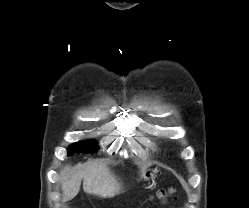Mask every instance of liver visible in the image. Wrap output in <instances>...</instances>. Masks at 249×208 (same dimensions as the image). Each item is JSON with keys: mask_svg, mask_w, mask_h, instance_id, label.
Segmentation results:
<instances>
[{"mask_svg": "<svg viewBox=\"0 0 249 208\" xmlns=\"http://www.w3.org/2000/svg\"><path fill=\"white\" fill-rule=\"evenodd\" d=\"M145 168L141 170L144 173ZM83 179L84 192L102 198L113 197L122 191V186L110 169L102 162L95 160L82 166H65L60 171L63 200L73 199L80 190Z\"/></svg>", "mask_w": 249, "mask_h": 208, "instance_id": "obj_1", "label": "liver"}]
</instances>
